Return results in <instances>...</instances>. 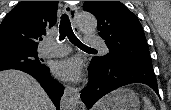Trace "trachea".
Masks as SVG:
<instances>
[{
	"instance_id": "1",
	"label": "trachea",
	"mask_w": 171,
	"mask_h": 110,
	"mask_svg": "<svg viewBox=\"0 0 171 110\" xmlns=\"http://www.w3.org/2000/svg\"><path fill=\"white\" fill-rule=\"evenodd\" d=\"M59 33H60V36H59L60 40H64L65 37H68L69 41L79 48L95 50L91 47L84 45L76 37V35L73 33L71 23H70V20H69V17L67 14H63L61 16V21H60V25H59Z\"/></svg>"
}]
</instances>
